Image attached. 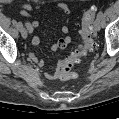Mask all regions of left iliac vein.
I'll list each match as a JSON object with an SVG mask.
<instances>
[{
    "instance_id": "4c4485c4",
    "label": "left iliac vein",
    "mask_w": 119,
    "mask_h": 119,
    "mask_svg": "<svg viewBox=\"0 0 119 119\" xmlns=\"http://www.w3.org/2000/svg\"><path fill=\"white\" fill-rule=\"evenodd\" d=\"M100 20H101V19L96 18L95 21H94L93 26H94V30H95V31H99V30H100Z\"/></svg>"
}]
</instances>
